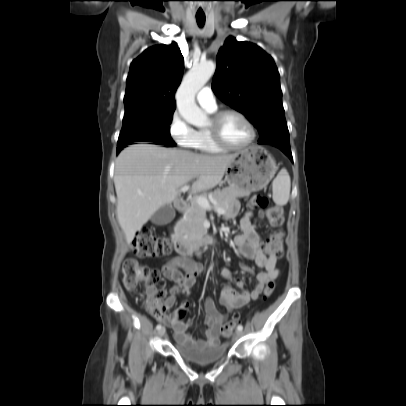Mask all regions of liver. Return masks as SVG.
<instances>
[{
  "mask_svg": "<svg viewBox=\"0 0 406 406\" xmlns=\"http://www.w3.org/2000/svg\"><path fill=\"white\" fill-rule=\"evenodd\" d=\"M236 154L203 155L152 144L125 148L115 162L117 219L130 244L135 233L161 207L178 199L180 188L192 192L217 186Z\"/></svg>",
  "mask_w": 406,
  "mask_h": 406,
  "instance_id": "liver-1",
  "label": "liver"
}]
</instances>
